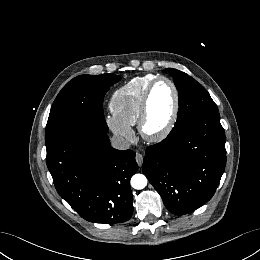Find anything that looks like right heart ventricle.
I'll list each match as a JSON object with an SVG mask.
<instances>
[{
	"label": "right heart ventricle",
	"mask_w": 260,
	"mask_h": 260,
	"mask_svg": "<svg viewBox=\"0 0 260 260\" xmlns=\"http://www.w3.org/2000/svg\"><path fill=\"white\" fill-rule=\"evenodd\" d=\"M156 78L152 74L136 77L115 90L110 99L113 115L130 127L136 125L144 93Z\"/></svg>",
	"instance_id": "obj_1"
}]
</instances>
